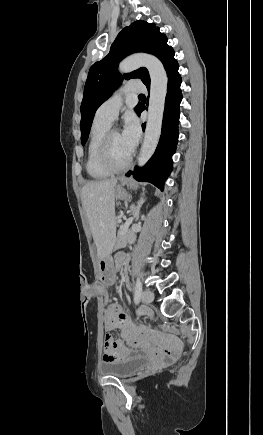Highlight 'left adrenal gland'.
<instances>
[{"label": "left adrenal gland", "instance_id": "obj_1", "mask_svg": "<svg viewBox=\"0 0 263 435\" xmlns=\"http://www.w3.org/2000/svg\"><path fill=\"white\" fill-rule=\"evenodd\" d=\"M144 194L145 193L143 192L136 206L134 204L131 206V212L135 221L138 220L140 208L142 204L145 202Z\"/></svg>", "mask_w": 263, "mask_h": 435}]
</instances>
